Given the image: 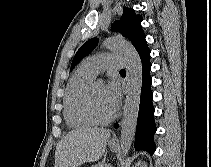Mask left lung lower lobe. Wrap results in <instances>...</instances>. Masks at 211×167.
<instances>
[{"label":"left lung lower lobe","mask_w":211,"mask_h":167,"mask_svg":"<svg viewBox=\"0 0 211 167\" xmlns=\"http://www.w3.org/2000/svg\"><path fill=\"white\" fill-rule=\"evenodd\" d=\"M149 58L150 52L140 56L142 65V84L135 136V150H144L153 154L156 150L154 134L157 128L154 122V107L152 103L153 92L151 90L152 77L150 75L152 64ZM117 127L118 124L115 125V128Z\"/></svg>","instance_id":"0a47b994"}]
</instances>
